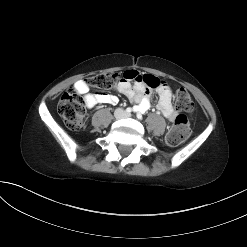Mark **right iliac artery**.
Instances as JSON below:
<instances>
[{
    "mask_svg": "<svg viewBox=\"0 0 247 247\" xmlns=\"http://www.w3.org/2000/svg\"><path fill=\"white\" fill-rule=\"evenodd\" d=\"M131 111H132V108H131V107H128V108H126V110H125L126 113H131Z\"/></svg>",
    "mask_w": 247,
    "mask_h": 247,
    "instance_id": "right-iliac-artery-1",
    "label": "right iliac artery"
}]
</instances>
